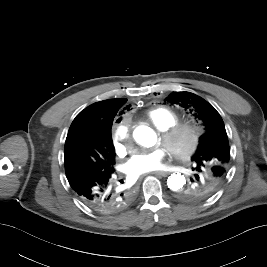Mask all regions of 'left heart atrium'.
<instances>
[{
	"mask_svg": "<svg viewBox=\"0 0 267 267\" xmlns=\"http://www.w3.org/2000/svg\"><path fill=\"white\" fill-rule=\"evenodd\" d=\"M166 151L162 147L135 153L125 164L124 169L130 177H140L159 170L164 166Z\"/></svg>",
	"mask_w": 267,
	"mask_h": 267,
	"instance_id": "left-heart-atrium-1",
	"label": "left heart atrium"
}]
</instances>
